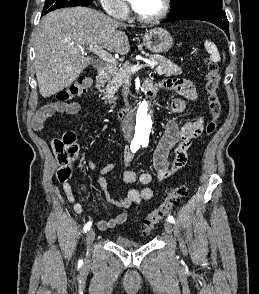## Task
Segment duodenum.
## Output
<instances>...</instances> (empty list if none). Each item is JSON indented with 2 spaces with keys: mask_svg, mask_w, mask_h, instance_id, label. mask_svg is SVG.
<instances>
[{
  "mask_svg": "<svg viewBox=\"0 0 259 294\" xmlns=\"http://www.w3.org/2000/svg\"><path fill=\"white\" fill-rule=\"evenodd\" d=\"M114 69V66L110 63H104L99 68V77H105L107 76L112 70ZM151 90V83L150 81H145L141 88V94H146ZM126 111L123 110L120 113V116L125 115Z\"/></svg>",
  "mask_w": 259,
  "mask_h": 294,
  "instance_id": "duodenum-1",
  "label": "duodenum"
}]
</instances>
